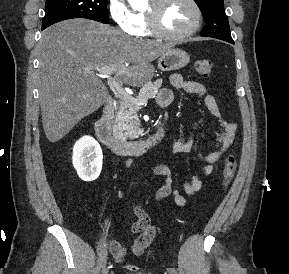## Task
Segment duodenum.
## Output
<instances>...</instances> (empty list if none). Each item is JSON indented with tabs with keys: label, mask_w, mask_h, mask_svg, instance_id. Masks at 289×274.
Returning a JSON list of instances; mask_svg holds the SVG:
<instances>
[{
	"label": "duodenum",
	"mask_w": 289,
	"mask_h": 274,
	"mask_svg": "<svg viewBox=\"0 0 289 274\" xmlns=\"http://www.w3.org/2000/svg\"><path fill=\"white\" fill-rule=\"evenodd\" d=\"M114 101L106 99L103 112L95 124L99 141L116 154H141L159 146L166 136V126L162 125L155 134L145 140L127 141L119 139L113 133Z\"/></svg>",
	"instance_id": "410a0bca"
}]
</instances>
